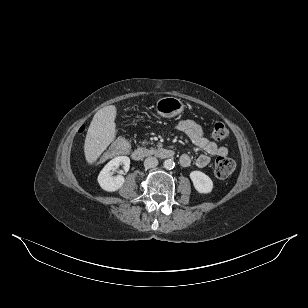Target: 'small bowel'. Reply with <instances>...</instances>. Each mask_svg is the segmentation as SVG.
Returning a JSON list of instances; mask_svg holds the SVG:
<instances>
[{"mask_svg": "<svg viewBox=\"0 0 308 308\" xmlns=\"http://www.w3.org/2000/svg\"><path fill=\"white\" fill-rule=\"evenodd\" d=\"M177 129L184 133L196 147L204 151V154L195 159L197 167H206L210 162V156H227V148L205 137L202 127L197 122L190 119L181 120L177 123ZM179 161L182 166L187 167L191 164L192 158L188 154H182Z\"/></svg>", "mask_w": 308, "mask_h": 308, "instance_id": "obj_1", "label": "small bowel"}]
</instances>
